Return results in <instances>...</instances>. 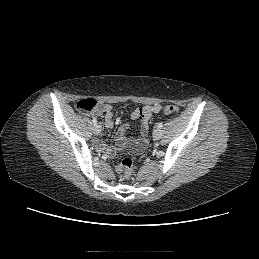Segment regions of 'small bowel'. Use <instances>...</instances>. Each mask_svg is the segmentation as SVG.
<instances>
[{
	"instance_id": "1",
	"label": "small bowel",
	"mask_w": 259,
	"mask_h": 259,
	"mask_svg": "<svg viewBox=\"0 0 259 259\" xmlns=\"http://www.w3.org/2000/svg\"><path fill=\"white\" fill-rule=\"evenodd\" d=\"M144 109V113H143ZM161 111V106L153 105V106H145L143 108H136L131 112V118L133 120H140V135L138 138H128L126 136L129 126L127 124L122 125L116 135V147L120 149H130L135 152H141L145 149L148 142V132H149V123L150 119L156 115H158ZM96 115L101 113L105 114V126L109 129L114 126V115H113V107L110 104H104L100 106L96 110ZM97 146L105 151L108 155H113L115 149L109 147L107 144L98 141Z\"/></svg>"
}]
</instances>
